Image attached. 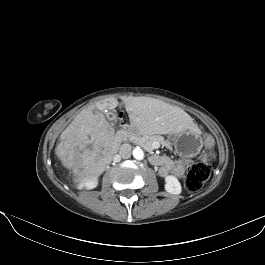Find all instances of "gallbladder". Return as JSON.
I'll return each instance as SVG.
<instances>
[{
	"label": "gallbladder",
	"instance_id": "bac80fb5",
	"mask_svg": "<svg viewBox=\"0 0 265 265\" xmlns=\"http://www.w3.org/2000/svg\"><path fill=\"white\" fill-rule=\"evenodd\" d=\"M109 121H116V115L113 112L107 114Z\"/></svg>",
	"mask_w": 265,
	"mask_h": 265
}]
</instances>
